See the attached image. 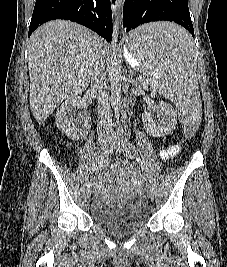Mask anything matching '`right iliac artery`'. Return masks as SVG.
<instances>
[{
	"mask_svg": "<svg viewBox=\"0 0 227 267\" xmlns=\"http://www.w3.org/2000/svg\"><path fill=\"white\" fill-rule=\"evenodd\" d=\"M113 149H114V145H112L111 147H110V149H108V150H106L105 152H103V153H101L100 154V156L97 158V160H96V163L93 165V167H92V169H91V174L95 171V170H97L99 167H101L102 166V164H103V161L105 160V158L110 154V153H112L113 152ZM89 186V185H88Z\"/></svg>",
	"mask_w": 227,
	"mask_h": 267,
	"instance_id": "1",
	"label": "right iliac artery"
}]
</instances>
